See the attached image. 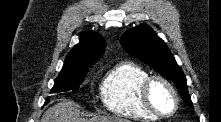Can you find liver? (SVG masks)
Listing matches in <instances>:
<instances>
[{
    "mask_svg": "<svg viewBox=\"0 0 221 122\" xmlns=\"http://www.w3.org/2000/svg\"><path fill=\"white\" fill-rule=\"evenodd\" d=\"M87 120L88 119L80 118V110L75 102L68 99H62L44 113L41 122H129L127 119L123 118L106 117Z\"/></svg>",
    "mask_w": 221,
    "mask_h": 122,
    "instance_id": "1",
    "label": "liver"
}]
</instances>
